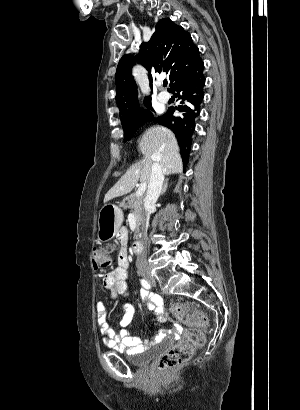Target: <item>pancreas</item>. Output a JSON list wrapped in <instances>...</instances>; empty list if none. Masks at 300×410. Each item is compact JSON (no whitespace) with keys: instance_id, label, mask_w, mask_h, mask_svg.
<instances>
[{"instance_id":"cf45deb5","label":"pancreas","mask_w":300,"mask_h":410,"mask_svg":"<svg viewBox=\"0 0 300 410\" xmlns=\"http://www.w3.org/2000/svg\"><path fill=\"white\" fill-rule=\"evenodd\" d=\"M127 201V203H125ZM125 201L121 203V205L127 209H133L134 210V215L136 218L137 225L139 226L142 221H143V215H144V210H143V197H136L135 194H130L125 198Z\"/></svg>"}]
</instances>
